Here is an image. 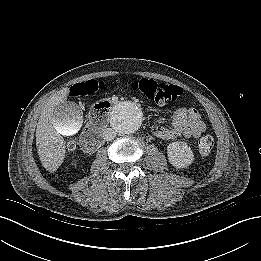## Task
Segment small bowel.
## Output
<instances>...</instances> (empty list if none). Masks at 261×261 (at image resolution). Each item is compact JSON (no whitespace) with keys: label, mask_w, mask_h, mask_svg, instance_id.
<instances>
[{"label":"small bowel","mask_w":261,"mask_h":261,"mask_svg":"<svg viewBox=\"0 0 261 261\" xmlns=\"http://www.w3.org/2000/svg\"><path fill=\"white\" fill-rule=\"evenodd\" d=\"M205 130L206 124L197 109L181 107L174 112L170 128L155 126L152 133L161 139H175L182 136L198 138Z\"/></svg>","instance_id":"1"}]
</instances>
